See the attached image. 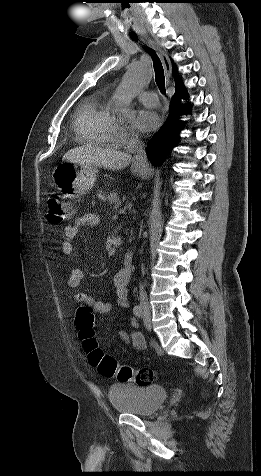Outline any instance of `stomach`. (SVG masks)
Instances as JSON below:
<instances>
[{"mask_svg":"<svg viewBox=\"0 0 261 476\" xmlns=\"http://www.w3.org/2000/svg\"><path fill=\"white\" fill-rule=\"evenodd\" d=\"M97 167L91 164H79L65 161L53 171V181L63 190V195L75 197L89 191L97 177Z\"/></svg>","mask_w":261,"mask_h":476,"instance_id":"1","label":"stomach"}]
</instances>
